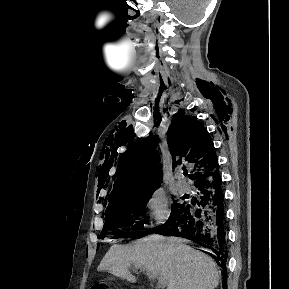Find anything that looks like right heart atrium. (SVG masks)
<instances>
[{"label": "right heart atrium", "mask_w": 289, "mask_h": 289, "mask_svg": "<svg viewBox=\"0 0 289 289\" xmlns=\"http://www.w3.org/2000/svg\"><path fill=\"white\" fill-rule=\"evenodd\" d=\"M145 207L154 226L163 224L169 217L168 199L160 189L154 190L148 196Z\"/></svg>", "instance_id": "obj_1"}]
</instances>
